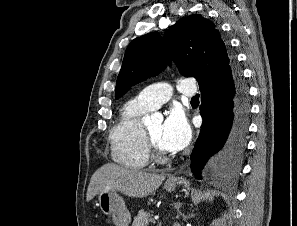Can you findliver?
Returning <instances> with one entry per match:
<instances>
[{"label":"liver","instance_id":"6515ba94","mask_svg":"<svg viewBox=\"0 0 297 226\" xmlns=\"http://www.w3.org/2000/svg\"><path fill=\"white\" fill-rule=\"evenodd\" d=\"M165 175L121 167L113 163L101 166L91 177L86 200L105 191H120L134 198L147 197L164 181Z\"/></svg>","mask_w":297,"mask_h":226}]
</instances>
